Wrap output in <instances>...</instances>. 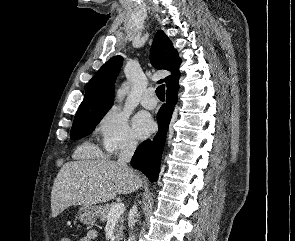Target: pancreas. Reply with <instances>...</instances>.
<instances>
[{
  "mask_svg": "<svg viewBox=\"0 0 295 241\" xmlns=\"http://www.w3.org/2000/svg\"><path fill=\"white\" fill-rule=\"evenodd\" d=\"M114 205L115 204L112 203V204H107L106 206H104L100 214V221L106 222L108 220V213ZM123 222H124L123 217H120L116 220L115 241H119L123 235Z\"/></svg>",
  "mask_w": 295,
  "mask_h": 241,
  "instance_id": "1",
  "label": "pancreas"
}]
</instances>
